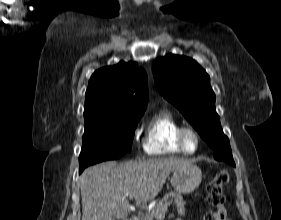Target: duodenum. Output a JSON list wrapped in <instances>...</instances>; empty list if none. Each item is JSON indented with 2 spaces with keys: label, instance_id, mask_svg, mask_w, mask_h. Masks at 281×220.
<instances>
[{
  "label": "duodenum",
  "instance_id": "1",
  "mask_svg": "<svg viewBox=\"0 0 281 220\" xmlns=\"http://www.w3.org/2000/svg\"><path fill=\"white\" fill-rule=\"evenodd\" d=\"M129 220H139V219H138V217L133 216Z\"/></svg>",
  "mask_w": 281,
  "mask_h": 220
}]
</instances>
